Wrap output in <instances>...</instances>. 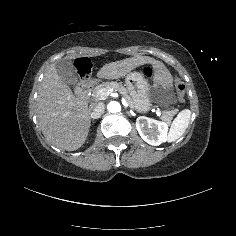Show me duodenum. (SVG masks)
<instances>
[{"instance_id": "obj_1", "label": "duodenum", "mask_w": 236, "mask_h": 236, "mask_svg": "<svg viewBox=\"0 0 236 236\" xmlns=\"http://www.w3.org/2000/svg\"><path fill=\"white\" fill-rule=\"evenodd\" d=\"M97 80L90 74H83L76 88L79 97L86 98L90 89L96 84Z\"/></svg>"}]
</instances>
